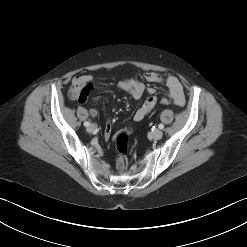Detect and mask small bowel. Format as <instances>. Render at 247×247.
I'll use <instances>...</instances> for the list:
<instances>
[{
  "label": "small bowel",
  "instance_id": "c3829d8e",
  "mask_svg": "<svg viewBox=\"0 0 247 247\" xmlns=\"http://www.w3.org/2000/svg\"><path fill=\"white\" fill-rule=\"evenodd\" d=\"M92 79L93 77L91 75L76 76L72 80V88L75 90H81L86 87L89 88ZM144 79L149 83L163 82L162 76L155 72H146L144 74ZM117 85L120 89L128 92L135 99H140L144 93H148L150 95L136 110L134 114L135 121L139 122L143 120L155 107L157 99L154 96L155 89L153 87H146L142 81L135 78L120 80ZM166 85L173 104L179 107L183 106L185 103V95L180 80L176 76H168L166 79ZM90 115L93 117L97 115L96 108L90 109ZM104 137L105 139H109L111 137L110 125H107L104 131Z\"/></svg>",
  "mask_w": 247,
  "mask_h": 247
}]
</instances>
